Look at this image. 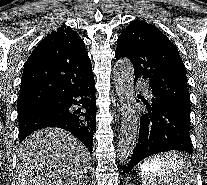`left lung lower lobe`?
Listing matches in <instances>:
<instances>
[{"mask_svg":"<svg viewBox=\"0 0 207 185\" xmlns=\"http://www.w3.org/2000/svg\"><path fill=\"white\" fill-rule=\"evenodd\" d=\"M145 113L141 116L138 144L127 172L144 158L165 151L177 150L193 153L190 138V117L174 105L152 97L149 102L141 95ZM139 102V100H138Z\"/></svg>","mask_w":207,"mask_h":185,"instance_id":"0a47b994","label":"left lung lower lobe"}]
</instances>
